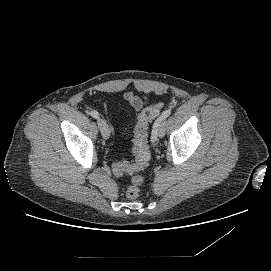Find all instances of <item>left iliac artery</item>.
I'll list each match as a JSON object with an SVG mask.
<instances>
[{
    "label": "left iliac artery",
    "instance_id": "44dca946",
    "mask_svg": "<svg viewBox=\"0 0 271 271\" xmlns=\"http://www.w3.org/2000/svg\"><path fill=\"white\" fill-rule=\"evenodd\" d=\"M171 114V109H167L165 110L160 116L159 118L155 121V123L153 124L152 127V133H151V141L155 142L157 140V136H158V127L160 125V123L165 120L169 115Z\"/></svg>",
    "mask_w": 271,
    "mask_h": 271
}]
</instances>
